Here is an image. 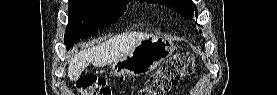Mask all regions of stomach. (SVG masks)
Returning <instances> with one entry per match:
<instances>
[{
    "instance_id": "0dacf381",
    "label": "stomach",
    "mask_w": 277,
    "mask_h": 95,
    "mask_svg": "<svg viewBox=\"0 0 277 95\" xmlns=\"http://www.w3.org/2000/svg\"><path fill=\"white\" fill-rule=\"evenodd\" d=\"M173 50V43L168 39L156 36L146 38L112 64L113 73L118 77L148 74L168 58Z\"/></svg>"
}]
</instances>
